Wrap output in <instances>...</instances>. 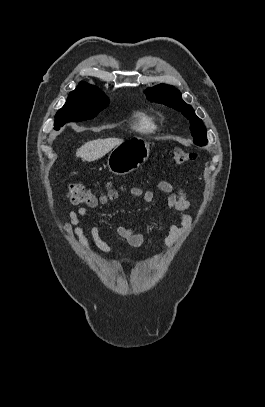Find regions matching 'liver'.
Returning a JSON list of instances; mask_svg holds the SVG:
<instances>
[{"instance_id":"6515ba94","label":"liver","mask_w":265,"mask_h":407,"mask_svg":"<svg viewBox=\"0 0 265 407\" xmlns=\"http://www.w3.org/2000/svg\"><path fill=\"white\" fill-rule=\"evenodd\" d=\"M124 141L119 138H106L96 139L89 141L82 145L77 151L76 156L81 157L82 160L92 162L100 159L111 151L116 146L120 145Z\"/></svg>"}]
</instances>
